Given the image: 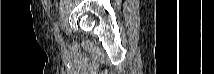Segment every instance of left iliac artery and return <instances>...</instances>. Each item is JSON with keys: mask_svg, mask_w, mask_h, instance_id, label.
<instances>
[{"mask_svg": "<svg viewBox=\"0 0 214 74\" xmlns=\"http://www.w3.org/2000/svg\"><path fill=\"white\" fill-rule=\"evenodd\" d=\"M54 35H55V38L58 40V42H62V38L59 34V28H58V24L56 23L55 26H54Z\"/></svg>", "mask_w": 214, "mask_h": 74, "instance_id": "left-iliac-artery-1", "label": "left iliac artery"}]
</instances>
